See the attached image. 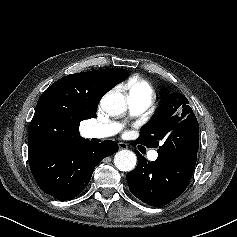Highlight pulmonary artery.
<instances>
[{"label": "pulmonary artery", "mask_w": 237, "mask_h": 237, "mask_svg": "<svg viewBox=\"0 0 237 237\" xmlns=\"http://www.w3.org/2000/svg\"><path fill=\"white\" fill-rule=\"evenodd\" d=\"M152 99L149 97L128 96L129 109L132 114L138 115L144 112L151 104ZM122 128L118 122H109L106 124L91 125L87 128V136L89 138H107L117 134ZM158 154L153 151L149 154L151 160H155Z\"/></svg>", "instance_id": "1"}]
</instances>
